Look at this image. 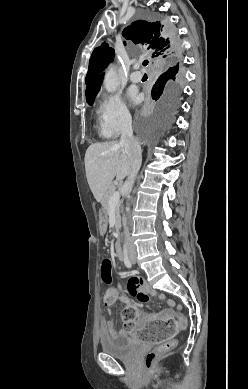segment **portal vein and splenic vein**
Listing matches in <instances>:
<instances>
[{"label":"portal vein and splenic vein","instance_id":"18ae733b","mask_svg":"<svg viewBox=\"0 0 248 389\" xmlns=\"http://www.w3.org/2000/svg\"><path fill=\"white\" fill-rule=\"evenodd\" d=\"M120 200V194L118 191H115L109 200V206H117Z\"/></svg>","mask_w":248,"mask_h":389}]
</instances>
